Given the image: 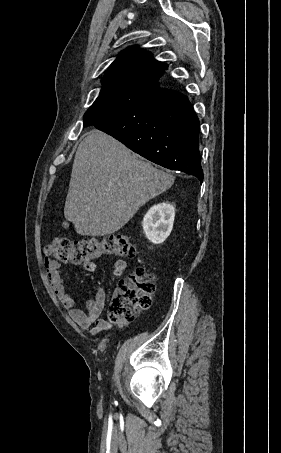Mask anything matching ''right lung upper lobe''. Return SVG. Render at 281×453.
Instances as JSON below:
<instances>
[{"label":"right lung upper lobe","mask_w":281,"mask_h":453,"mask_svg":"<svg viewBox=\"0 0 281 453\" xmlns=\"http://www.w3.org/2000/svg\"><path fill=\"white\" fill-rule=\"evenodd\" d=\"M167 68L148 51L137 47L122 51L106 71L100 95L88 110L129 101L159 87Z\"/></svg>","instance_id":"right-lung-upper-lobe-1"}]
</instances>
